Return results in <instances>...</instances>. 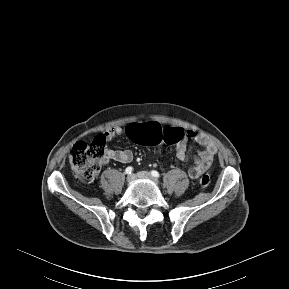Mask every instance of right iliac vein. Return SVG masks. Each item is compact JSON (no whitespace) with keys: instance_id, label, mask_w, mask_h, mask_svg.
Wrapping results in <instances>:
<instances>
[{"instance_id":"63e3f726","label":"right iliac vein","mask_w":289,"mask_h":289,"mask_svg":"<svg viewBox=\"0 0 289 289\" xmlns=\"http://www.w3.org/2000/svg\"><path fill=\"white\" fill-rule=\"evenodd\" d=\"M135 180H136V176L134 174L127 176V182L128 183H133Z\"/></svg>"}]
</instances>
